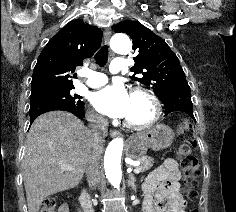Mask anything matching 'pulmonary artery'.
Segmentation results:
<instances>
[{"instance_id":"obj_1","label":"pulmonary artery","mask_w":236,"mask_h":212,"mask_svg":"<svg viewBox=\"0 0 236 212\" xmlns=\"http://www.w3.org/2000/svg\"><path fill=\"white\" fill-rule=\"evenodd\" d=\"M125 66V61L123 58H116L110 66V71L112 73H117L121 71ZM86 85L92 88H97L104 85L107 82V77L105 74L95 71H87L85 73Z\"/></svg>"}]
</instances>
